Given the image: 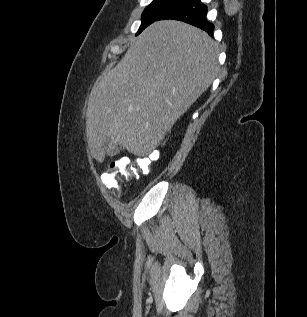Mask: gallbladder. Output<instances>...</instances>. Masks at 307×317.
I'll use <instances>...</instances> for the list:
<instances>
[{
    "mask_svg": "<svg viewBox=\"0 0 307 317\" xmlns=\"http://www.w3.org/2000/svg\"><path fill=\"white\" fill-rule=\"evenodd\" d=\"M119 152V149H118V147H114L109 153H108V155L109 156H115L117 153Z\"/></svg>",
    "mask_w": 307,
    "mask_h": 317,
    "instance_id": "bac80fb5",
    "label": "gallbladder"
}]
</instances>
